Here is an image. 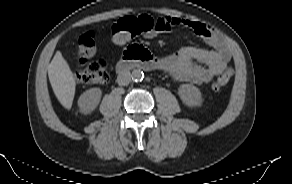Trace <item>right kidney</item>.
Here are the masks:
<instances>
[{"mask_svg":"<svg viewBox=\"0 0 292 184\" xmlns=\"http://www.w3.org/2000/svg\"><path fill=\"white\" fill-rule=\"evenodd\" d=\"M102 91L99 88L86 90L78 99L80 111L84 114L91 113L99 104Z\"/></svg>","mask_w":292,"mask_h":184,"instance_id":"ca27d5eb","label":"right kidney"}]
</instances>
